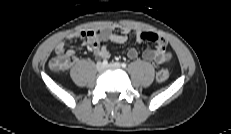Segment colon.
Here are the masks:
<instances>
[{
    "mask_svg": "<svg viewBox=\"0 0 231 134\" xmlns=\"http://www.w3.org/2000/svg\"><path fill=\"white\" fill-rule=\"evenodd\" d=\"M70 65V59L65 55H56L50 61V67L54 70H65ZM170 72L166 68L160 69L156 74V79L159 82L168 80Z\"/></svg>",
    "mask_w": 231,
    "mask_h": 134,
    "instance_id": "5ec220e1",
    "label": "colon"
}]
</instances>
